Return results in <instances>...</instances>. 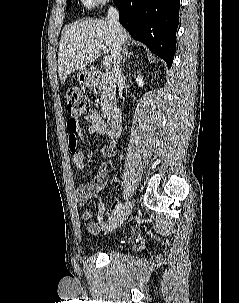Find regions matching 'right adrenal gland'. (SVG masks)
Returning <instances> with one entry per match:
<instances>
[{"instance_id": "right-adrenal-gland-1", "label": "right adrenal gland", "mask_w": 239, "mask_h": 303, "mask_svg": "<svg viewBox=\"0 0 239 303\" xmlns=\"http://www.w3.org/2000/svg\"><path fill=\"white\" fill-rule=\"evenodd\" d=\"M131 55H133V53L129 52L127 47H124L122 49V56H121L122 64H124L127 57H130Z\"/></svg>"}]
</instances>
